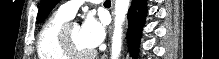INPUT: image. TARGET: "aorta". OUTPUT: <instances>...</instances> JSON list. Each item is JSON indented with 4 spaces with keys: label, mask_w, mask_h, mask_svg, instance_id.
I'll return each mask as SVG.
<instances>
[{
    "label": "aorta",
    "mask_w": 219,
    "mask_h": 59,
    "mask_svg": "<svg viewBox=\"0 0 219 59\" xmlns=\"http://www.w3.org/2000/svg\"><path fill=\"white\" fill-rule=\"evenodd\" d=\"M131 0H115V22L111 45V59L120 57L122 48L123 23Z\"/></svg>",
    "instance_id": "aorta-1"
}]
</instances>
